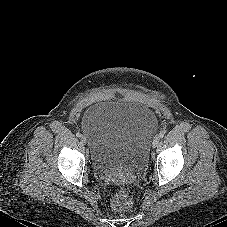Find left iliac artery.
<instances>
[{
    "label": "left iliac artery",
    "instance_id": "obj_1",
    "mask_svg": "<svg viewBox=\"0 0 227 227\" xmlns=\"http://www.w3.org/2000/svg\"><path fill=\"white\" fill-rule=\"evenodd\" d=\"M159 137L163 138L164 137V132H160Z\"/></svg>",
    "mask_w": 227,
    "mask_h": 227
}]
</instances>
